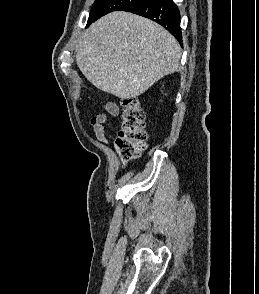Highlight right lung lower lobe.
<instances>
[{
  "label": "right lung lower lobe",
  "instance_id": "right-lung-lower-lobe-1",
  "mask_svg": "<svg viewBox=\"0 0 259 294\" xmlns=\"http://www.w3.org/2000/svg\"><path fill=\"white\" fill-rule=\"evenodd\" d=\"M121 11L132 12L159 23L182 42L180 12L173 0H137Z\"/></svg>",
  "mask_w": 259,
  "mask_h": 294
}]
</instances>
